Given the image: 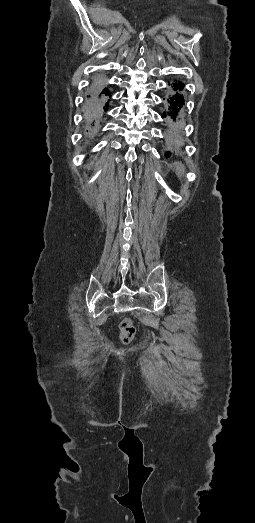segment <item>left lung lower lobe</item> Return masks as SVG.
I'll return each mask as SVG.
<instances>
[{"mask_svg": "<svg viewBox=\"0 0 255 523\" xmlns=\"http://www.w3.org/2000/svg\"><path fill=\"white\" fill-rule=\"evenodd\" d=\"M180 85L181 82L179 80L173 82H171L170 80L165 81V86H167V88H175L172 89V92H166V95H171V97H168V100L167 97H164L165 103H171L165 104V107H167V109H171V107H174V109H171V111H161V114H163L162 119H165L166 116L167 121H171V123H177V121H180V118H177V116H179V113L173 112H182L183 107H186L189 103V100L186 96H184V93H181V96L179 97L175 95V92H183V86ZM171 98H175V100H171ZM174 128H180V125H174ZM170 129H173V126H170ZM169 133H172V130H169ZM167 145H174V140H167ZM172 151H174V148H167V151H163V154H165V156H163V161L169 162L171 158H173Z\"/></svg>", "mask_w": 255, "mask_h": 523, "instance_id": "obj_1", "label": "left lung lower lobe"}]
</instances>
